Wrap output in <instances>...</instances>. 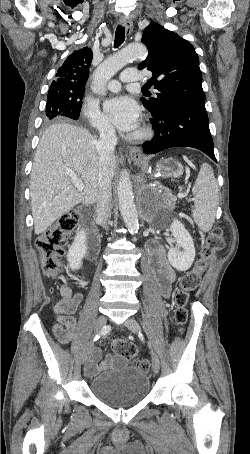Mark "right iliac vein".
Masks as SVG:
<instances>
[{
	"label": "right iliac vein",
	"instance_id": "right-iliac-vein-1",
	"mask_svg": "<svg viewBox=\"0 0 250 454\" xmlns=\"http://www.w3.org/2000/svg\"><path fill=\"white\" fill-rule=\"evenodd\" d=\"M107 323V319L104 315H100L96 322H95V331L96 332H99L100 330H102L105 325ZM93 342L91 341L90 343H88V345L86 346V348L84 349V352H83V355H82V363L84 364L85 361L87 360V358L89 357L92 349H93Z\"/></svg>",
	"mask_w": 250,
	"mask_h": 454
}]
</instances>
